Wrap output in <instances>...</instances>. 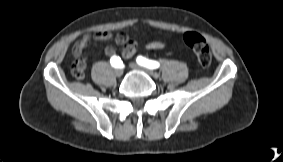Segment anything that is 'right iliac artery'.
<instances>
[{
	"label": "right iliac artery",
	"mask_w": 283,
	"mask_h": 162,
	"mask_svg": "<svg viewBox=\"0 0 283 162\" xmlns=\"http://www.w3.org/2000/svg\"><path fill=\"white\" fill-rule=\"evenodd\" d=\"M110 63H111V65H112L113 67L117 68V67H120V66H121L122 61H121L120 57H118V56H113V57H111V59H110Z\"/></svg>",
	"instance_id": "obj_1"
}]
</instances>
